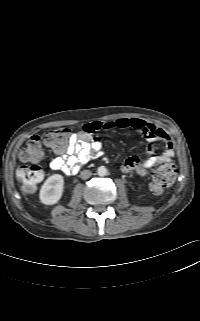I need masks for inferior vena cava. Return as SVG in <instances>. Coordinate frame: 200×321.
I'll use <instances>...</instances> for the list:
<instances>
[{
  "label": "inferior vena cava",
  "instance_id": "obj_1",
  "mask_svg": "<svg viewBox=\"0 0 200 321\" xmlns=\"http://www.w3.org/2000/svg\"><path fill=\"white\" fill-rule=\"evenodd\" d=\"M92 175L90 170H83L80 174L81 179L86 180Z\"/></svg>",
  "mask_w": 200,
  "mask_h": 321
}]
</instances>
